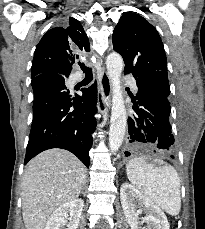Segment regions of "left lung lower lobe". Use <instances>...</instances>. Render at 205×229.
<instances>
[{"label": "left lung lower lobe", "instance_id": "left-lung-lower-lobe-1", "mask_svg": "<svg viewBox=\"0 0 205 229\" xmlns=\"http://www.w3.org/2000/svg\"><path fill=\"white\" fill-rule=\"evenodd\" d=\"M139 92L134 98L132 117H128L129 149H154L173 157L174 137L169 122V98L159 90L138 84ZM137 100V101H136ZM126 156L130 152H125Z\"/></svg>", "mask_w": 205, "mask_h": 229}]
</instances>
